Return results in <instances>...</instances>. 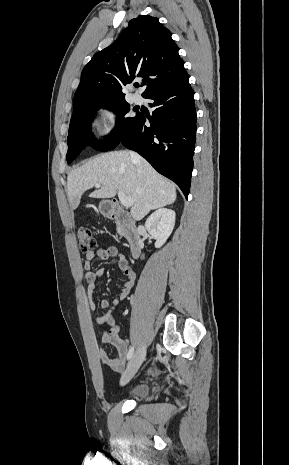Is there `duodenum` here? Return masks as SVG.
<instances>
[{"instance_id":"410a0bca","label":"duodenum","mask_w":289,"mask_h":465,"mask_svg":"<svg viewBox=\"0 0 289 465\" xmlns=\"http://www.w3.org/2000/svg\"><path fill=\"white\" fill-rule=\"evenodd\" d=\"M104 212L110 219L116 221L126 236L130 254L138 258L142 249V236L130 215L120 206L115 199L110 200L104 208Z\"/></svg>"}]
</instances>
